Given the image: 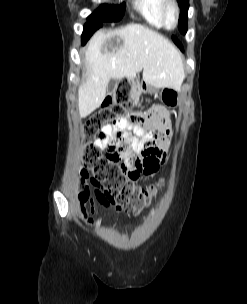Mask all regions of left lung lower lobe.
Returning <instances> with one entry per match:
<instances>
[{"label":"left lung lower lobe","mask_w":247,"mask_h":304,"mask_svg":"<svg viewBox=\"0 0 247 304\" xmlns=\"http://www.w3.org/2000/svg\"><path fill=\"white\" fill-rule=\"evenodd\" d=\"M172 39L175 42V44L183 51L182 44L178 41V39L174 36L172 37Z\"/></svg>","instance_id":"left-lung-lower-lobe-1"}]
</instances>
